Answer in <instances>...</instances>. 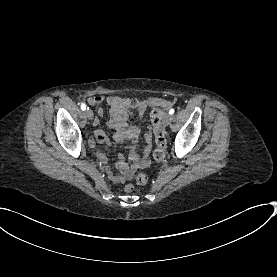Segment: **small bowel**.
Returning <instances> with one entry per match:
<instances>
[{
  "mask_svg": "<svg viewBox=\"0 0 277 277\" xmlns=\"http://www.w3.org/2000/svg\"><path fill=\"white\" fill-rule=\"evenodd\" d=\"M90 104L101 105L109 104L110 105V118L108 121V127L115 130L114 139L118 142H123L125 139H129L132 143V147L129 151L130 156V164H126L124 161V156L120 155L118 159V163L116 165L117 169L119 170L118 175H113L110 172V168L105 166L103 171L108 173L109 178L117 184L124 183L127 180H130L134 173L137 170H142L150 165V160L148 158L149 151L152 145V128H149L145 134V146H144V156L139 158L136 156V151L134 149V145L136 144L140 130L136 126H129L128 125V118L131 115L130 110V100L124 97L119 96H109L101 95L98 98L90 97L89 98ZM159 106L162 109V112L168 110L171 107V102L167 99L161 97H153L149 100H140L137 106L139 117L141 118L146 111L147 107L150 106ZM95 123H98V120H95ZM98 140L103 143H108L109 139L106 134L98 130L96 132L95 138L90 140V144L92 147L95 146V141ZM129 146L127 144H115L112 143L110 145V150L112 152L115 151H127ZM100 161L105 163L107 158L101 153H97Z\"/></svg>",
  "mask_w": 277,
  "mask_h": 277,
  "instance_id": "small-bowel-1",
  "label": "small bowel"
}]
</instances>
